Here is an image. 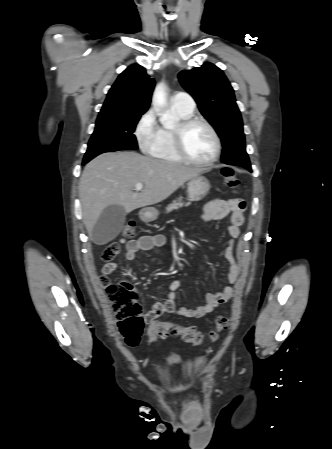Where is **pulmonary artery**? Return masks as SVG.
<instances>
[{
  "mask_svg": "<svg viewBox=\"0 0 332 449\" xmlns=\"http://www.w3.org/2000/svg\"><path fill=\"white\" fill-rule=\"evenodd\" d=\"M173 106L192 112L195 108L193 98L185 92H177L171 98Z\"/></svg>",
  "mask_w": 332,
  "mask_h": 449,
  "instance_id": "obj_1",
  "label": "pulmonary artery"
}]
</instances>
